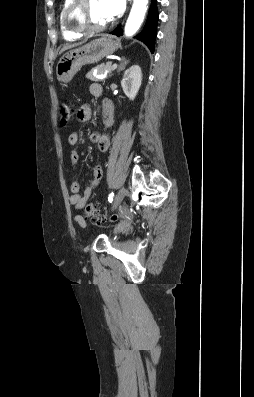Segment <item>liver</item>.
<instances>
[{
  "instance_id": "obj_1",
  "label": "liver",
  "mask_w": 254,
  "mask_h": 397,
  "mask_svg": "<svg viewBox=\"0 0 254 397\" xmlns=\"http://www.w3.org/2000/svg\"><path fill=\"white\" fill-rule=\"evenodd\" d=\"M85 41H86V40H84V41H82V42H79V43H75V44H72V45L65 46V47H63V48L61 49L60 53L64 52V51L67 50V49H70V48H72V47L81 45V44L84 43Z\"/></svg>"
}]
</instances>
